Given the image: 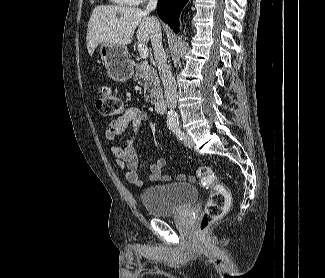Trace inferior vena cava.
<instances>
[{
    "label": "inferior vena cava",
    "mask_w": 325,
    "mask_h": 278,
    "mask_svg": "<svg viewBox=\"0 0 325 278\" xmlns=\"http://www.w3.org/2000/svg\"><path fill=\"white\" fill-rule=\"evenodd\" d=\"M158 0H149L146 12L150 13L156 9ZM151 44L153 47L158 71L165 90V100L170 111H173L177 105V87L176 81L167 65V56L162 45V32L159 21L152 17Z\"/></svg>",
    "instance_id": "1"
}]
</instances>
